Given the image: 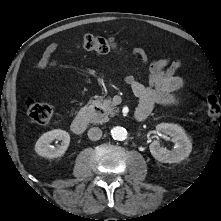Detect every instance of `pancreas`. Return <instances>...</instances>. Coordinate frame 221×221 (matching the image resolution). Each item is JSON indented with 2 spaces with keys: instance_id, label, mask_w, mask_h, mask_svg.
Returning a JSON list of instances; mask_svg holds the SVG:
<instances>
[{
  "instance_id": "1",
  "label": "pancreas",
  "mask_w": 221,
  "mask_h": 221,
  "mask_svg": "<svg viewBox=\"0 0 221 221\" xmlns=\"http://www.w3.org/2000/svg\"><path fill=\"white\" fill-rule=\"evenodd\" d=\"M92 106H96L103 110L101 114H93L90 117V122L92 123H102L108 119V115L112 117L117 113L115 106L112 104L111 99L103 100L102 97H98L96 100H90L89 102Z\"/></svg>"
}]
</instances>
